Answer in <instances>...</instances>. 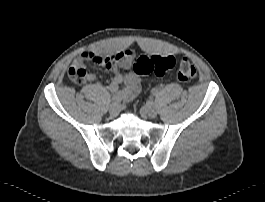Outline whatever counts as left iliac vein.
Returning a JSON list of instances; mask_svg holds the SVG:
<instances>
[{"mask_svg": "<svg viewBox=\"0 0 265 202\" xmlns=\"http://www.w3.org/2000/svg\"><path fill=\"white\" fill-rule=\"evenodd\" d=\"M141 111L147 114L150 118H155L157 116V110L153 102H148L141 108Z\"/></svg>", "mask_w": 265, "mask_h": 202, "instance_id": "4c4485c4", "label": "left iliac vein"}]
</instances>
